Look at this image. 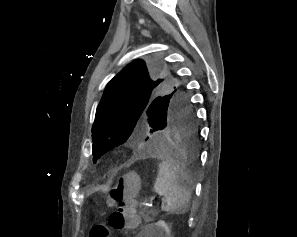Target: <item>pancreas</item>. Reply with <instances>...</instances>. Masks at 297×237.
Instances as JSON below:
<instances>
[{
    "label": "pancreas",
    "mask_w": 297,
    "mask_h": 237,
    "mask_svg": "<svg viewBox=\"0 0 297 237\" xmlns=\"http://www.w3.org/2000/svg\"><path fill=\"white\" fill-rule=\"evenodd\" d=\"M149 213L152 214V215H156L157 214V211L151 210Z\"/></svg>",
    "instance_id": "cf45deb5"
}]
</instances>
